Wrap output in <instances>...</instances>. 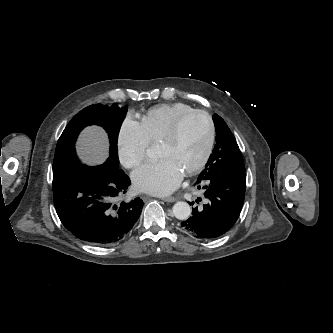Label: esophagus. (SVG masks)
Instances as JSON below:
<instances>
[{
	"instance_id": "esophagus-1",
	"label": "esophagus",
	"mask_w": 333,
	"mask_h": 333,
	"mask_svg": "<svg viewBox=\"0 0 333 333\" xmlns=\"http://www.w3.org/2000/svg\"><path fill=\"white\" fill-rule=\"evenodd\" d=\"M143 199H146L148 198V196L146 195H143L142 196ZM162 200H164L165 202H175L177 199L175 197H165V198H162Z\"/></svg>"
}]
</instances>
